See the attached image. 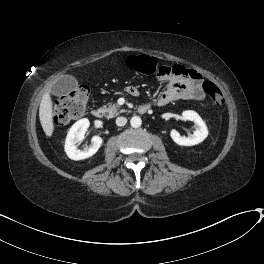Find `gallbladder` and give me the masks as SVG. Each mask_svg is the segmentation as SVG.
<instances>
[{"mask_svg": "<svg viewBox=\"0 0 264 264\" xmlns=\"http://www.w3.org/2000/svg\"><path fill=\"white\" fill-rule=\"evenodd\" d=\"M78 82L75 77L65 75L60 78L53 86V92L58 94H65L77 88Z\"/></svg>", "mask_w": 264, "mask_h": 264, "instance_id": "gallbladder-1", "label": "gallbladder"}]
</instances>
